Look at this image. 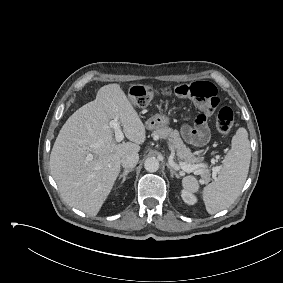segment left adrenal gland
Instances as JSON below:
<instances>
[{
    "instance_id": "1",
    "label": "left adrenal gland",
    "mask_w": 283,
    "mask_h": 283,
    "mask_svg": "<svg viewBox=\"0 0 283 283\" xmlns=\"http://www.w3.org/2000/svg\"><path fill=\"white\" fill-rule=\"evenodd\" d=\"M167 167L169 168V170H170V173H171V177L172 178H174V176H176V178H180V176H179V174H177L173 169H172V167L169 165V164H167Z\"/></svg>"
}]
</instances>
